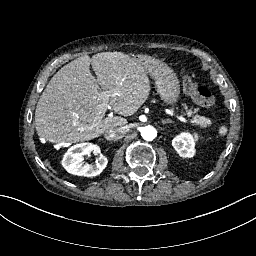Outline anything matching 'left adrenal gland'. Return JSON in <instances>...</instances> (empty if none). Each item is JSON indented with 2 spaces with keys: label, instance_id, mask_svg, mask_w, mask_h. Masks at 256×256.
I'll list each match as a JSON object with an SVG mask.
<instances>
[{
  "label": "left adrenal gland",
  "instance_id": "1",
  "mask_svg": "<svg viewBox=\"0 0 256 256\" xmlns=\"http://www.w3.org/2000/svg\"><path fill=\"white\" fill-rule=\"evenodd\" d=\"M166 122H167V123H171L172 121L169 119V120H167Z\"/></svg>",
  "mask_w": 256,
  "mask_h": 256
}]
</instances>
